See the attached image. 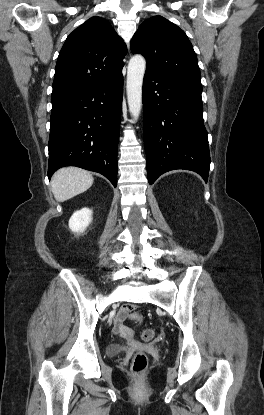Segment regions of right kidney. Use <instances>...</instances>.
Segmentation results:
<instances>
[{
    "instance_id": "obj_1",
    "label": "right kidney",
    "mask_w": 264,
    "mask_h": 415,
    "mask_svg": "<svg viewBox=\"0 0 264 415\" xmlns=\"http://www.w3.org/2000/svg\"><path fill=\"white\" fill-rule=\"evenodd\" d=\"M92 222V210L82 208L76 211L69 220V228L72 232L83 233Z\"/></svg>"
}]
</instances>
